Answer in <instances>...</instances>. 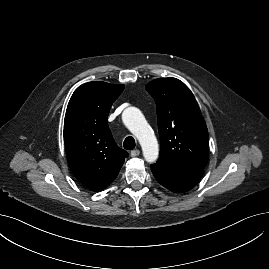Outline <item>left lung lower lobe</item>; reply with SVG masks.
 I'll use <instances>...</instances> for the list:
<instances>
[{
  "label": "left lung lower lobe",
  "mask_w": 269,
  "mask_h": 269,
  "mask_svg": "<svg viewBox=\"0 0 269 269\" xmlns=\"http://www.w3.org/2000/svg\"><path fill=\"white\" fill-rule=\"evenodd\" d=\"M151 170L157 182L175 193L192 189L204 172L199 167L161 159L151 165Z\"/></svg>",
  "instance_id": "1"
}]
</instances>
